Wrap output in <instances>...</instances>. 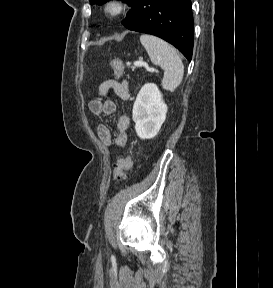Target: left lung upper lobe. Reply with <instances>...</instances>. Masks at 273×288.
Segmentation results:
<instances>
[{"instance_id": "left-lung-upper-lobe-1", "label": "left lung upper lobe", "mask_w": 273, "mask_h": 288, "mask_svg": "<svg viewBox=\"0 0 273 288\" xmlns=\"http://www.w3.org/2000/svg\"><path fill=\"white\" fill-rule=\"evenodd\" d=\"M91 4H103L109 0H89ZM124 2H126L129 6L132 7L133 3L135 0H123Z\"/></svg>"}]
</instances>
